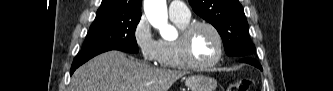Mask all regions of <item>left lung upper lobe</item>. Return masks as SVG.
Listing matches in <instances>:
<instances>
[{"mask_svg": "<svg viewBox=\"0 0 333 91\" xmlns=\"http://www.w3.org/2000/svg\"><path fill=\"white\" fill-rule=\"evenodd\" d=\"M189 3L217 29L228 56H253L255 46L250 41L248 23L238 0H189Z\"/></svg>", "mask_w": 333, "mask_h": 91, "instance_id": "left-lung-upper-lobe-1", "label": "left lung upper lobe"}]
</instances>
